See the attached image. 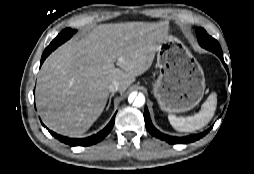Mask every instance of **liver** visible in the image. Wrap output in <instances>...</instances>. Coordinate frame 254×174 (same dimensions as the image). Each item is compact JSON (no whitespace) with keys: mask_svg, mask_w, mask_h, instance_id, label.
Returning a JSON list of instances; mask_svg holds the SVG:
<instances>
[{"mask_svg":"<svg viewBox=\"0 0 254 174\" xmlns=\"http://www.w3.org/2000/svg\"><path fill=\"white\" fill-rule=\"evenodd\" d=\"M166 34L167 22L102 24L52 52L36 86V106L45 125L68 137L83 135L103 112L109 85L116 80L119 91H126L150 68Z\"/></svg>","mask_w":254,"mask_h":174,"instance_id":"1","label":"liver"}]
</instances>
